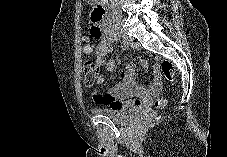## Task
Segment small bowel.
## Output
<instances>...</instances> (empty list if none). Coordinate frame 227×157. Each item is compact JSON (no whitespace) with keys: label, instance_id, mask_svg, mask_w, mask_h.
<instances>
[{"label":"small bowel","instance_id":"obj_1","mask_svg":"<svg viewBox=\"0 0 227 157\" xmlns=\"http://www.w3.org/2000/svg\"><path fill=\"white\" fill-rule=\"evenodd\" d=\"M112 38V32L100 33L99 43L95 49L90 44L83 47L85 54H91L94 51L97 65L104 67L108 72L113 71L115 68V62L107 58L113 49L112 44L114 41ZM122 77L124 82L121 86L102 92L98 86L104 82L105 77L99 75L95 81L96 87L91 91L93 101L113 109H136L148 106L159 92L161 82L156 71L153 74V82L149 89L136 82L135 66L131 62L125 64Z\"/></svg>","mask_w":227,"mask_h":157}]
</instances>
